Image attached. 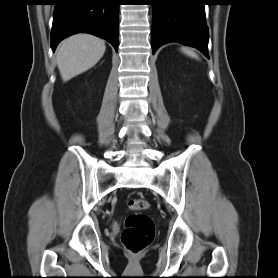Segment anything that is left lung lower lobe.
I'll list each match as a JSON object with an SVG mask.
<instances>
[{"instance_id":"1","label":"left lung lower lobe","mask_w":278,"mask_h":278,"mask_svg":"<svg viewBox=\"0 0 278 278\" xmlns=\"http://www.w3.org/2000/svg\"><path fill=\"white\" fill-rule=\"evenodd\" d=\"M205 4V0H152L153 54L166 43L178 42L196 47L209 58Z\"/></svg>"}]
</instances>
